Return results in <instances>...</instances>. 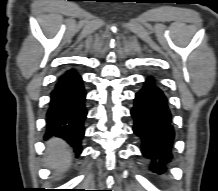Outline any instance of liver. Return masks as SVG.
<instances>
[{
    "instance_id": "1",
    "label": "liver",
    "mask_w": 218,
    "mask_h": 191,
    "mask_svg": "<svg viewBox=\"0 0 218 191\" xmlns=\"http://www.w3.org/2000/svg\"><path fill=\"white\" fill-rule=\"evenodd\" d=\"M72 159V150L68 144L58 138H52L47 147L45 164L53 169L56 173L65 172Z\"/></svg>"
}]
</instances>
